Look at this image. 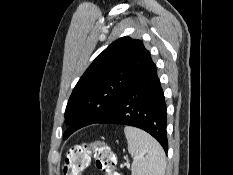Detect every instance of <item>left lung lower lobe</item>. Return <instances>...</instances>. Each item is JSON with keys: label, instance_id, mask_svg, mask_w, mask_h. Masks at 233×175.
<instances>
[{"label": "left lung lower lobe", "instance_id": "left-lung-lower-lobe-1", "mask_svg": "<svg viewBox=\"0 0 233 175\" xmlns=\"http://www.w3.org/2000/svg\"><path fill=\"white\" fill-rule=\"evenodd\" d=\"M94 123L138 127L151 134L167 152L166 103L155 64L152 62Z\"/></svg>", "mask_w": 233, "mask_h": 175}]
</instances>
